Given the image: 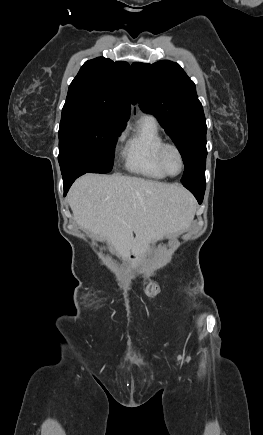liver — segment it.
Instances as JSON below:
<instances>
[{"label":"liver","mask_w":263,"mask_h":435,"mask_svg":"<svg viewBox=\"0 0 263 435\" xmlns=\"http://www.w3.org/2000/svg\"><path fill=\"white\" fill-rule=\"evenodd\" d=\"M68 202L77 224L107 240L124 258L183 232L193 218L192 209L183 206L190 197L182 186L116 174L80 177Z\"/></svg>","instance_id":"obj_1"}]
</instances>
